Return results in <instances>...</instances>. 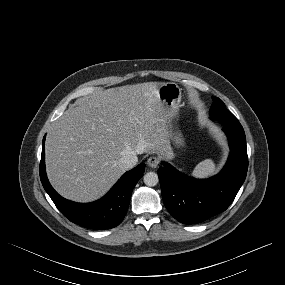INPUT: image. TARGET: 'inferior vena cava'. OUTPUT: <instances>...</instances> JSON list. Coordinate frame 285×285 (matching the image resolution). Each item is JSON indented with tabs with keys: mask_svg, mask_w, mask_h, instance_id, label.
<instances>
[{
	"mask_svg": "<svg viewBox=\"0 0 285 285\" xmlns=\"http://www.w3.org/2000/svg\"><path fill=\"white\" fill-rule=\"evenodd\" d=\"M122 162L125 168L131 169L137 164L138 158L135 154H130V155L125 156L122 159Z\"/></svg>",
	"mask_w": 285,
	"mask_h": 285,
	"instance_id": "inferior-vena-cava-1",
	"label": "inferior vena cava"
}]
</instances>
